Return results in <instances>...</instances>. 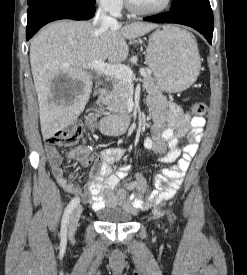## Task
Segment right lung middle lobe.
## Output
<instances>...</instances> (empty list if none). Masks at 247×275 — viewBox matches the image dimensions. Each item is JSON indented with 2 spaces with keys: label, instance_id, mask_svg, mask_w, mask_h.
Instances as JSON below:
<instances>
[{
  "label": "right lung middle lobe",
  "instance_id": "1",
  "mask_svg": "<svg viewBox=\"0 0 247 275\" xmlns=\"http://www.w3.org/2000/svg\"><path fill=\"white\" fill-rule=\"evenodd\" d=\"M46 1H50V0H28V5L31 6V5L46 2ZM65 1H70L78 4H85V5L95 4V0H65Z\"/></svg>",
  "mask_w": 247,
  "mask_h": 275
}]
</instances>
